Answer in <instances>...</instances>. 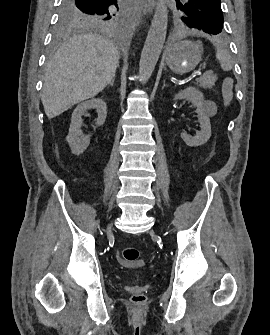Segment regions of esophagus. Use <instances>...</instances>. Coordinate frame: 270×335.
<instances>
[{"label":"esophagus","instance_id":"esophagus-1","mask_svg":"<svg viewBox=\"0 0 270 335\" xmlns=\"http://www.w3.org/2000/svg\"><path fill=\"white\" fill-rule=\"evenodd\" d=\"M139 3L142 6L143 15L151 13L155 6V0H140Z\"/></svg>","mask_w":270,"mask_h":335}]
</instances>
